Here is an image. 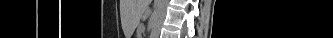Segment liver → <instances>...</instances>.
<instances>
[{"mask_svg": "<svg viewBox=\"0 0 333 38\" xmlns=\"http://www.w3.org/2000/svg\"><path fill=\"white\" fill-rule=\"evenodd\" d=\"M151 0H135L133 1V24H138L146 7L150 4Z\"/></svg>", "mask_w": 333, "mask_h": 38, "instance_id": "6515ba94", "label": "liver"}]
</instances>
